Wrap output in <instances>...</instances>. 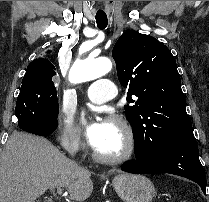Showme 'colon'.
<instances>
[{
    "instance_id": "obj_1",
    "label": "colon",
    "mask_w": 209,
    "mask_h": 202,
    "mask_svg": "<svg viewBox=\"0 0 209 202\" xmlns=\"http://www.w3.org/2000/svg\"><path fill=\"white\" fill-rule=\"evenodd\" d=\"M180 202H189V201H185V200H183V201H180Z\"/></svg>"
}]
</instances>
